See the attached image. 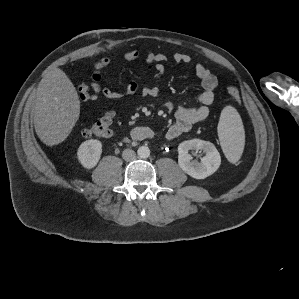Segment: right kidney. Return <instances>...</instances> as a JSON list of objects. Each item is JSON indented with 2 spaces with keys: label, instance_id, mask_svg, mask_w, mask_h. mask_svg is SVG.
I'll use <instances>...</instances> for the list:
<instances>
[{
  "label": "right kidney",
  "instance_id": "obj_1",
  "mask_svg": "<svg viewBox=\"0 0 299 299\" xmlns=\"http://www.w3.org/2000/svg\"><path fill=\"white\" fill-rule=\"evenodd\" d=\"M102 153V143L99 140L91 139L83 142L77 151V158L80 164L86 169L94 168Z\"/></svg>",
  "mask_w": 299,
  "mask_h": 299
}]
</instances>
